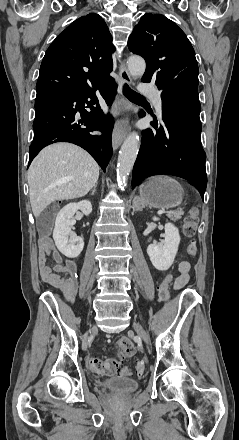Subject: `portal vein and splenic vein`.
<instances>
[{
    "instance_id": "18ae733b",
    "label": "portal vein and splenic vein",
    "mask_w": 239,
    "mask_h": 440,
    "mask_svg": "<svg viewBox=\"0 0 239 440\" xmlns=\"http://www.w3.org/2000/svg\"><path fill=\"white\" fill-rule=\"evenodd\" d=\"M156 212H157L158 215H162V214L165 213L164 211H162V209H159V211L157 210Z\"/></svg>"
}]
</instances>
